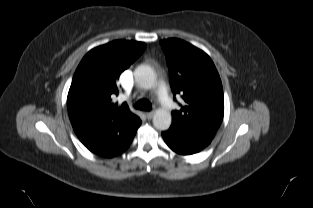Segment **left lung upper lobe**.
<instances>
[{"mask_svg":"<svg viewBox=\"0 0 313 208\" xmlns=\"http://www.w3.org/2000/svg\"><path fill=\"white\" fill-rule=\"evenodd\" d=\"M165 52L173 94L185 101L172 112L170 129L182 136L211 142L224 114V96L220 76L202 50L177 39L161 40Z\"/></svg>","mask_w":313,"mask_h":208,"instance_id":"5c2ea615","label":"left lung upper lobe"}]
</instances>
